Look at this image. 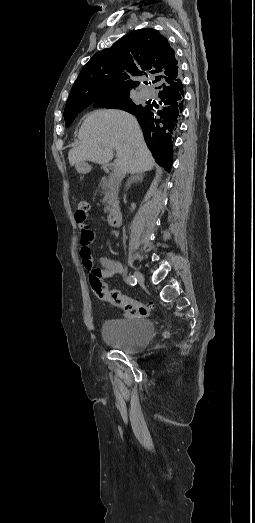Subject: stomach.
<instances>
[{"mask_svg": "<svg viewBox=\"0 0 255 523\" xmlns=\"http://www.w3.org/2000/svg\"><path fill=\"white\" fill-rule=\"evenodd\" d=\"M81 173H82L83 175H88V174L90 173V168H89L88 166H83V167L81 168Z\"/></svg>", "mask_w": 255, "mask_h": 523, "instance_id": "0dacf381", "label": "stomach"}]
</instances>
